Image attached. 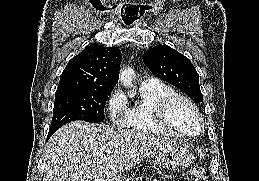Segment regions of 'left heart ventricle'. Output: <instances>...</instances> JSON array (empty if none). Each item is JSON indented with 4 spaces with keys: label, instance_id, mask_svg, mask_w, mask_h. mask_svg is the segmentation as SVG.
I'll return each instance as SVG.
<instances>
[{
    "label": "left heart ventricle",
    "instance_id": "b2bd125f",
    "mask_svg": "<svg viewBox=\"0 0 259 181\" xmlns=\"http://www.w3.org/2000/svg\"><path fill=\"white\" fill-rule=\"evenodd\" d=\"M172 123L180 130L194 133L198 129V119L193 110L185 103H178L171 115Z\"/></svg>",
    "mask_w": 259,
    "mask_h": 181
}]
</instances>
